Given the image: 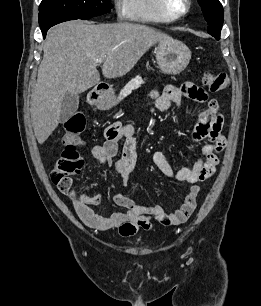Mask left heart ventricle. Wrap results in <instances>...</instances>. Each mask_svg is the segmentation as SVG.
<instances>
[{
  "label": "left heart ventricle",
  "mask_w": 261,
  "mask_h": 306,
  "mask_svg": "<svg viewBox=\"0 0 261 306\" xmlns=\"http://www.w3.org/2000/svg\"><path fill=\"white\" fill-rule=\"evenodd\" d=\"M169 5L171 9L175 12L181 11L184 7L182 0H169Z\"/></svg>",
  "instance_id": "left-heart-ventricle-1"
}]
</instances>
